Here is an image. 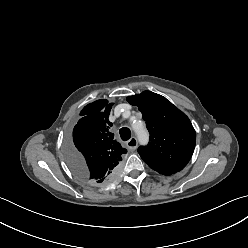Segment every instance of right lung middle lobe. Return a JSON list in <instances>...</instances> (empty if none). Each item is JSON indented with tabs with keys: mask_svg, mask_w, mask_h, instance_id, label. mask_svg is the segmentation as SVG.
<instances>
[{
	"mask_svg": "<svg viewBox=\"0 0 248 248\" xmlns=\"http://www.w3.org/2000/svg\"><path fill=\"white\" fill-rule=\"evenodd\" d=\"M65 156H66L69 166L71 167L73 172L76 174L75 166H74L75 152H74V149L71 143H68L65 147Z\"/></svg>",
	"mask_w": 248,
	"mask_h": 248,
	"instance_id": "dd1d6c3e",
	"label": "right lung middle lobe"
}]
</instances>
